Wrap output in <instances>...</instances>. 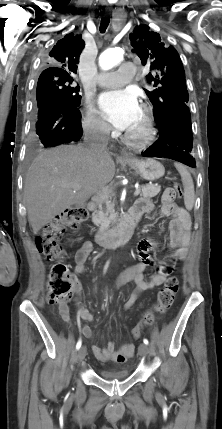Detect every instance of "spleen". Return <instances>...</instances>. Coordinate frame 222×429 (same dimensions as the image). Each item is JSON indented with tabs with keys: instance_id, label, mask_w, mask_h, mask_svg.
<instances>
[{
	"instance_id": "obj_1",
	"label": "spleen",
	"mask_w": 222,
	"mask_h": 429,
	"mask_svg": "<svg viewBox=\"0 0 222 429\" xmlns=\"http://www.w3.org/2000/svg\"><path fill=\"white\" fill-rule=\"evenodd\" d=\"M174 165L177 171L179 172L183 183L185 207L187 210L190 211L192 210L195 202V191H194L193 179L191 177L190 172L187 170V168L184 165L180 163H175Z\"/></svg>"
}]
</instances>
